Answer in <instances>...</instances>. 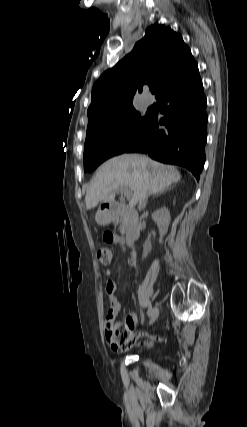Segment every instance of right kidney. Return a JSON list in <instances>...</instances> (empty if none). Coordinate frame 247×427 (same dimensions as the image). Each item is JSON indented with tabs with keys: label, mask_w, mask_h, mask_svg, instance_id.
Segmentation results:
<instances>
[{
	"label": "right kidney",
	"mask_w": 247,
	"mask_h": 427,
	"mask_svg": "<svg viewBox=\"0 0 247 427\" xmlns=\"http://www.w3.org/2000/svg\"><path fill=\"white\" fill-rule=\"evenodd\" d=\"M152 219L157 223L160 239L159 242L162 243L163 237L168 231L170 224V212L166 207L159 208L152 214Z\"/></svg>",
	"instance_id": "obj_1"
}]
</instances>
